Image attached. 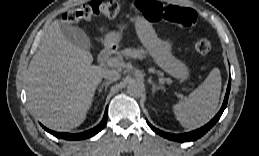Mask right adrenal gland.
<instances>
[{"label":"right adrenal gland","instance_id":"right-adrenal-gland-1","mask_svg":"<svg viewBox=\"0 0 259 156\" xmlns=\"http://www.w3.org/2000/svg\"><path fill=\"white\" fill-rule=\"evenodd\" d=\"M110 84H112L111 81L103 82V83L100 85L99 89H98V93H100V92L102 91V89H103L104 86H105V91H107V87H108Z\"/></svg>","mask_w":259,"mask_h":156}]
</instances>
